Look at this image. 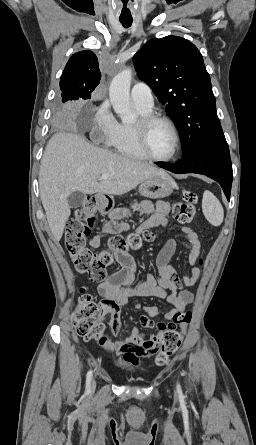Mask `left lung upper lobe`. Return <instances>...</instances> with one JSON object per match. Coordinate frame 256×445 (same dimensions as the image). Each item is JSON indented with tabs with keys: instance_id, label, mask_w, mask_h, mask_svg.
Segmentation results:
<instances>
[{
	"instance_id": "1",
	"label": "left lung upper lobe",
	"mask_w": 256,
	"mask_h": 445,
	"mask_svg": "<svg viewBox=\"0 0 256 445\" xmlns=\"http://www.w3.org/2000/svg\"><path fill=\"white\" fill-rule=\"evenodd\" d=\"M181 137L183 156L198 146L225 142L211 80L199 50L190 41L166 36L148 41L133 57Z\"/></svg>"
}]
</instances>
